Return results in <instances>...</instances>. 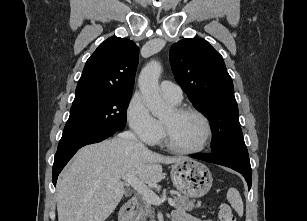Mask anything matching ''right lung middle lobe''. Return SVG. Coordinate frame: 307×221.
Masks as SVG:
<instances>
[{
	"label": "right lung middle lobe",
	"instance_id": "1",
	"mask_svg": "<svg viewBox=\"0 0 307 221\" xmlns=\"http://www.w3.org/2000/svg\"><path fill=\"white\" fill-rule=\"evenodd\" d=\"M132 93H110L73 102L58 147L123 130Z\"/></svg>",
	"mask_w": 307,
	"mask_h": 221
}]
</instances>
